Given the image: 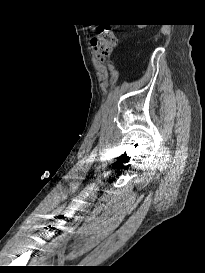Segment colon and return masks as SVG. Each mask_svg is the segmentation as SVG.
I'll list each match as a JSON object with an SVG mask.
<instances>
[{
    "label": "colon",
    "mask_w": 205,
    "mask_h": 273,
    "mask_svg": "<svg viewBox=\"0 0 205 273\" xmlns=\"http://www.w3.org/2000/svg\"><path fill=\"white\" fill-rule=\"evenodd\" d=\"M115 46V36L110 26H100L91 40V48L99 63L106 61Z\"/></svg>",
    "instance_id": "5ec220e1"
}]
</instances>
